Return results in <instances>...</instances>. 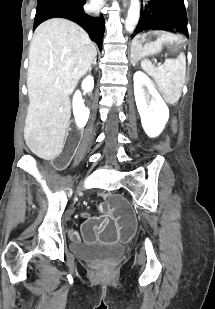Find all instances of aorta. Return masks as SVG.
I'll return each instance as SVG.
<instances>
[{
    "label": "aorta",
    "instance_id": "obj_1",
    "mask_svg": "<svg viewBox=\"0 0 215 309\" xmlns=\"http://www.w3.org/2000/svg\"><path fill=\"white\" fill-rule=\"evenodd\" d=\"M140 16V0H130L128 14L125 22L126 30L132 32L134 30Z\"/></svg>",
    "mask_w": 215,
    "mask_h": 309
}]
</instances>
